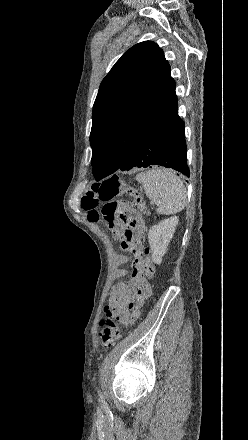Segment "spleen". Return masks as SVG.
<instances>
[{"mask_svg": "<svg viewBox=\"0 0 248 440\" xmlns=\"http://www.w3.org/2000/svg\"><path fill=\"white\" fill-rule=\"evenodd\" d=\"M136 180L142 183L147 197L158 205V214L171 215L184 209L187 202L186 188L170 170L152 169L139 173Z\"/></svg>", "mask_w": 248, "mask_h": 440, "instance_id": "1", "label": "spleen"}]
</instances>
